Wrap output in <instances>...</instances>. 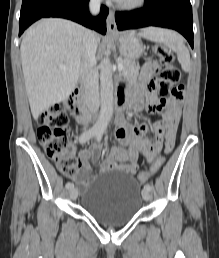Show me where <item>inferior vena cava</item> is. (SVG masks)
Returning a JSON list of instances; mask_svg holds the SVG:
<instances>
[{
    "mask_svg": "<svg viewBox=\"0 0 219 258\" xmlns=\"http://www.w3.org/2000/svg\"><path fill=\"white\" fill-rule=\"evenodd\" d=\"M100 4L101 0H90L89 10L93 15L99 13ZM96 49L95 33L91 30H86L83 36L81 77L84 84L85 103L92 113H95L100 105L99 81L95 58Z\"/></svg>",
    "mask_w": 219,
    "mask_h": 258,
    "instance_id": "obj_1",
    "label": "inferior vena cava"
}]
</instances>
